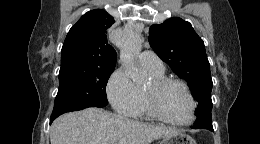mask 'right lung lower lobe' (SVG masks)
I'll return each mask as SVG.
<instances>
[{"mask_svg": "<svg viewBox=\"0 0 260 144\" xmlns=\"http://www.w3.org/2000/svg\"><path fill=\"white\" fill-rule=\"evenodd\" d=\"M55 118H50V123L54 120Z\"/></svg>", "mask_w": 260, "mask_h": 144, "instance_id": "right-lung-lower-lobe-1", "label": "right lung lower lobe"}]
</instances>
